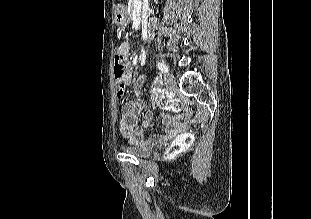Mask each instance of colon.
<instances>
[{
    "label": "colon",
    "instance_id": "obj_1",
    "mask_svg": "<svg viewBox=\"0 0 311 219\" xmlns=\"http://www.w3.org/2000/svg\"><path fill=\"white\" fill-rule=\"evenodd\" d=\"M128 61L126 57L118 55L114 59V76L117 81V97L119 99L123 98L126 93V82L125 74L127 72ZM162 107L170 109L172 111H177L180 108V102L177 100H169L162 98L159 100ZM167 114V113H164ZM194 134L192 132H187L186 134L180 136L169 147L170 155H177L183 150H185L189 145L194 142Z\"/></svg>",
    "mask_w": 311,
    "mask_h": 219
}]
</instances>
